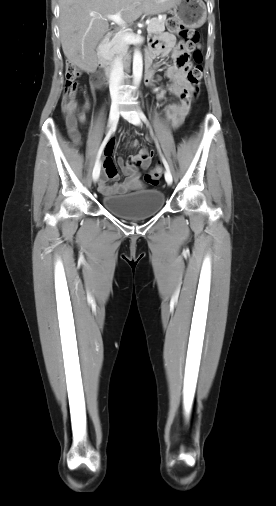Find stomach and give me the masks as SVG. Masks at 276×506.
Segmentation results:
<instances>
[{"label":"stomach","mask_w":276,"mask_h":506,"mask_svg":"<svg viewBox=\"0 0 276 506\" xmlns=\"http://www.w3.org/2000/svg\"><path fill=\"white\" fill-rule=\"evenodd\" d=\"M175 19L188 27H200L207 17L206 5L202 0H179L171 10Z\"/></svg>","instance_id":"stomach-1"}]
</instances>
